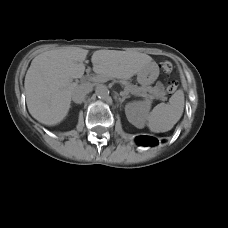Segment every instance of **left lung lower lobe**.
Here are the masks:
<instances>
[{
	"instance_id": "obj_1",
	"label": "left lung lower lobe",
	"mask_w": 228,
	"mask_h": 228,
	"mask_svg": "<svg viewBox=\"0 0 228 228\" xmlns=\"http://www.w3.org/2000/svg\"><path fill=\"white\" fill-rule=\"evenodd\" d=\"M137 141L140 145L148 146L157 144V140L155 138L149 136H141L137 138Z\"/></svg>"
}]
</instances>
